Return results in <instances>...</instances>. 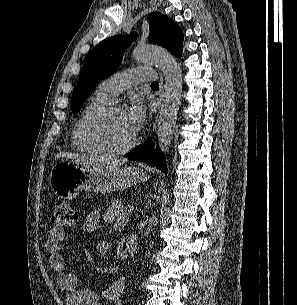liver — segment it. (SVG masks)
<instances>
[{
  "label": "liver",
  "mask_w": 297,
  "mask_h": 305,
  "mask_svg": "<svg viewBox=\"0 0 297 305\" xmlns=\"http://www.w3.org/2000/svg\"><path fill=\"white\" fill-rule=\"evenodd\" d=\"M58 158H66L67 160L70 159L72 162L85 164V165H92V166H104V167H118L120 165L126 164V159H119V158H105L93 155H79V154H72L67 152H60L55 156V159Z\"/></svg>",
  "instance_id": "1"
}]
</instances>
